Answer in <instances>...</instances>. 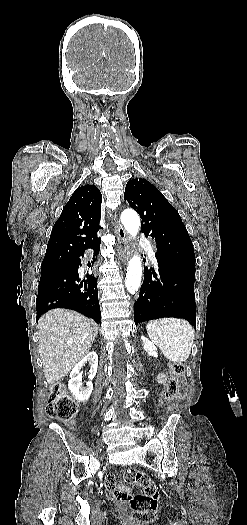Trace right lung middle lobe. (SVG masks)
<instances>
[{"instance_id":"obj_1","label":"right lung middle lobe","mask_w":247,"mask_h":525,"mask_svg":"<svg viewBox=\"0 0 247 525\" xmlns=\"http://www.w3.org/2000/svg\"><path fill=\"white\" fill-rule=\"evenodd\" d=\"M69 259V257L65 256L54 257L44 267H41V273L66 265Z\"/></svg>"}]
</instances>
